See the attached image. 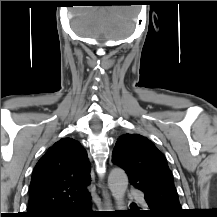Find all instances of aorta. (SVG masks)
Wrapping results in <instances>:
<instances>
[{"label": "aorta", "instance_id": "aorta-1", "mask_svg": "<svg viewBox=\"0 0 217 217\" xmlns=\"http://www.w3.org/2000/svg\"><path fill=\"white\" fill-rule=\"evenodd\" d=\"M108 186L119 210H124V197L128 187V177L124 170L115 168L108 177Z\"/></svg>", "mask_w": 217, "mask_h": 217}]
</instances>
